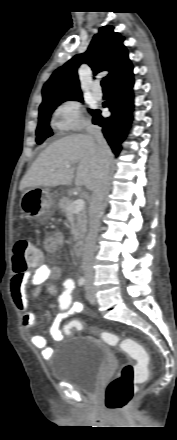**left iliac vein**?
I'll list each match as a JSON object with an SVG mask.
<instances>
[{"label": "left iliac vein", "instance_id": "1", "mask_svg": "<svg viewBox=\"0 0 177 440\" xmlns=\"http://www.w3.org/2000/svg\"><path fill=\"white\" fill-rule=\"evenodd\" d=\"M86 288H87L89 302L91 304H95L96 303V296H95V293H94L92 286L90 284H87Z\"/></svg>", "mask_w": 177, "mask_h": 440}]
</instances>
